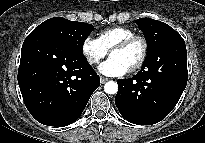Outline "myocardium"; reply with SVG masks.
I'll return each instance as SVG.
<instances>
[{"label": "myocardium", "instance_id": "obj_1", "mask_svg": "<svg viewBox=\"0 0 205 143\" xmlns=\"http://www.w3.org/2000/svg\"><path fill=\"white\" fill-rule=\"evenodd\" d=\"M136 42L140 43L142 51L138 61L129 69V72H135L144 65L148 56V48H149L146 38L142 35L134 34L118 42L110 49V55H111L112 52L117 50H124Z\"/></svg>", "mask_w": 205, "mask_h": 143}]
</instances>
